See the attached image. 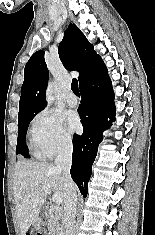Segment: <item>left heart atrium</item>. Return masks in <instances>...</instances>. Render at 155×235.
<instances>
[{
  "mask_svg": "<svg viewBox=\"0 0 155 235\" xmlns=\"http://www.w3.org/2000/svg\"><path fill=\"white\" fill-rule=\"evenodd\" d=\"M66 120H67L68 127L71 131L75 132L80 129V126H81L80 119L76 113L69 112L66 115Z\"/></svg>",
  "mask_w": 155,
  "mask_h": 235,
  "instance_id": "left-heart-atrium-1",
  "label": "left heart atrium"
}]
</instances>
